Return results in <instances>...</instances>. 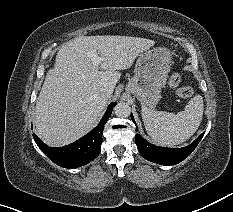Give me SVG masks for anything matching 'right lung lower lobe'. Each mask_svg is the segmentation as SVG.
<instances>
[{
	"label": "right lung lower lobe",
	"instance_id": "98d812e1",
	"mask_svg": "<svg viewBox=\"0 0 233 212\" xmlns=\"http://www.w3.org/2000/svg\"><path fill=\"white\" fill-rule=\"evenodd\" d=\"M115 105L116 103H111L108 106L105 115L96 128L67 146L48 147L37 135L33 134V138L41 151L55 164L70 169L86 165L94 160L101 151L104 125L108 121Z\"/></svg>",
	"mask_w": 233,
	"mask_h": 212
}]
</instances>
